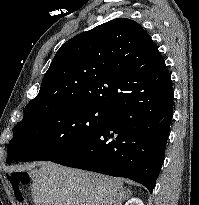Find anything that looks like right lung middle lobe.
Wrapping results in <instances>:
<instances>
[{
  "label": "right lung middle lobe",
  "instance_id": "obj_1",
  "mask_svg": "<svg viewBox=\"0 0 199 205\" xmlns=\"http://www.w3.org/2000/svg\"><path fill=\"white\" fill-rule=\"evenodd\" d=\"M109 119V109L92 105L57 103L26 107L8 144L6 162L56 159L89 140Z\"/></svg>",
  "mask_w": 199,
  "mask_h": 205
}]
</instances>
